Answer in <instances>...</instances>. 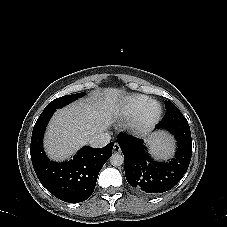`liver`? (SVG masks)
<instances>
[{"mask_svg": "<svg viewBox=\"0 0 227 227\" xmlns=\"http://www.w3.org/2000/svg\"><path fill=\"white\" fill-rule=\"evenodd\" d=\"M123 91L107 88L88 101L72 103L58 110L45 136V150L53 160L70 157L92 136L107 130L120 115Z\"/></svg>", "mask_w": 227, "mask_h": 227, "instance_id": "liver-1", "label": "liver"}]
</instances>
